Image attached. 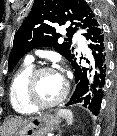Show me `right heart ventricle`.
I'll return each mask as SVG.
<instances>
[{
  "label": "right heart ventricle",
  "instance_id": "e07e8e85",
  "mask_svg": "<svg viewBox=\"0 0 117 136\" xmlns=\"http://www.w3.org/2000/svg\"><path fill=\"white\" fill-rule=\"evenodd\" d=\"M34 70L31 61H26L12 78L9 90V99L15 112L21 115H30L36 110L27 102L25 89L27 80Z\"/></svg>",
  "mask_w": 117,
  "mask_h": 136
}]
</instances>
